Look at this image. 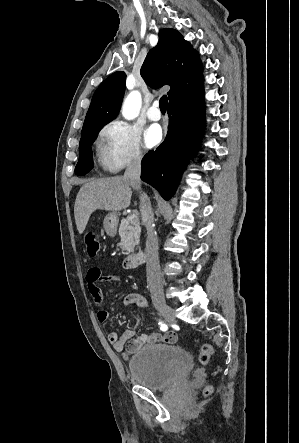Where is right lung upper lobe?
Here are the masks:
<instances>
[{
  "instance_id": "1",
  "label": "right lung upper lobe",
  "mask_w": 299,
  "mask_h": 443,
  "mask_svg": "<svg viewBox=\"0 0 299 443\" xmlns=\"http://www.w3.org/2000/svg\"><path fill=\"white\" fill-rule=\"evenodd\" d=\"M141 76L152 88L170 85L169 100L202 77L198 53L174 29L159 32V42L150 50L141 67ZM126 75L118 71L104 80L95 91L81 135L113 120L125 91Z\"/></svg>"
}]
</instances>
